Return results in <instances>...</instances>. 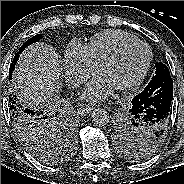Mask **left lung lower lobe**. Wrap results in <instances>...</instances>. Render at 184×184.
I'll return each instance as SVG.
<instances>
[{"label":"left lung lower lobe","mask_w":184,"mask_h":184,"mask_svg":"<svg viewBox=\"0 0 184 184\" xmlns=\"http://www.w3.org/2000/svg\"><path fill=\"white\" fill-rule=\"evenodd\" d=\"M173 98V80L170 75L153 78L145 89L131 101L129 113L158 132L167 130Z\"/></svg>","instance_id":"left-lung-lower-lobe-1"}]
</instances>
